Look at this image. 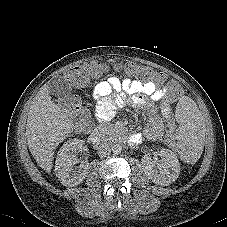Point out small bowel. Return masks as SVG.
<instances>
[{"label": "small bowel", "mask_w": 227, "mask_h": 227, "mask_svg": "<svg viewBox=\"0 0 227 227\" xmlns=\"http://www.w3.org/2000/svg\"><path fill=\"white\" fill-rule=\"evenodd\" d=\"M166 92V88L159 89L151 81L109 77L98 82L93 89V97L96 101L95 117L99 122H107L113 117L116 107L123 101L149 107V101H161ZM169 121H171V111L165 107L159 115H153L150 118L143 132V137L150 140L158 139L162 129ZM132 140L134 142L140 141L141 135H133Z\"/></svg>", "instance_id": "obj_1"}]
</instances>
